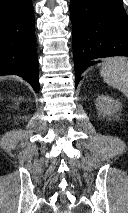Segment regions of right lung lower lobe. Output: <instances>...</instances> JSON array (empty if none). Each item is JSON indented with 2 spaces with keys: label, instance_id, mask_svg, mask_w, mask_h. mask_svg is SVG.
Returning a JSON list of instances; mask_svg holds the SVG:
<instances>
[{
  "label": "right lung lower lobe",
  "instance_id": "obj_1",
  "mask_svg": "<svg viewBox=\"0 0 128 213\" xmlns=\"http://www.w3.org/2000/svg\"><path fill=\"white\" fill-rule=\"evenodd\" d=\"M32 0H0V75L25 78L39 92Z\"/></svg>",
  "mask_w": 128,
  "mask_h": 213
}]
</instances>
